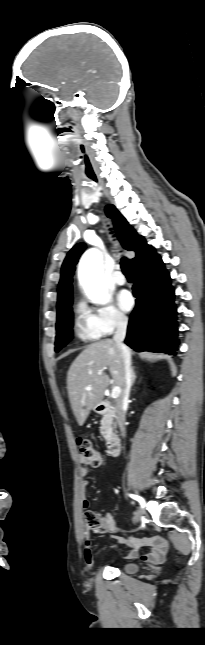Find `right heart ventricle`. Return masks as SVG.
Returning a JSON list of instances; mask_svg holds the SVG:
<instances>
[{"label":"right heart ventricle","mask_w":205,"mask_h":645,"mask_svg":"<svg viewBox=\"0 0 205 645\" xmlns=\"http://www.w3.org/2000/svg\"><path fill=\"white\" fill-rule=\"evenodd\" d=\"M76 333L81 339L87 341L97 340L100 337L90 326L89 314L82 306L77 311Z\"/></svg>","instance_id":"e07e8e85"}]
</instances>
